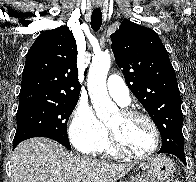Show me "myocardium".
I'll return each mask as SVG.
<instances>
[{
	"label": "myocardium",
	"instance_id": "1",
	"mask_svg": "<svg viewBox=\"0 0 196 182\" xmlns=\"http://www.w3.org/2000/svg\"><path fill=\"white\" fill-rule=\"evenodd\" d=\"M120 113L124 117H127V118H142L145 121H147L153 131L154 144H153L152 148L144 154L132 153L122 145V143L120 142L116 133L108 127L109 141H110V145H111L112 149L117 154H120L122 156L131 158V159L142 160V159H146V158L151 157L158 150L159 145H160V131H159V128H158L156 122L148 114L143 113L141 111L132 110V109H122L120 111Z\"/></svg>",
	"mask_w": 196,
	"mask_h": 182
}]
</instances>
